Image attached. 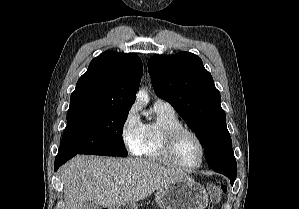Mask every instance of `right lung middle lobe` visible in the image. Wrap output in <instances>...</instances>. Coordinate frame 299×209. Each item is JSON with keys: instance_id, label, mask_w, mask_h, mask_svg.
<instances>
[{"instance_id": "dd1d6c3e", "label": "right lung middle lobe", "mask_w": 299, "mask_h": 209, "mask_svg": "<svg viewBox=\"0 0 299 209\" xmlns=\"http://www.w3.org/2000/svg\"><path fill=\"white\" fill-rule=\"evenodd\" d=\"M128 113L103 106L70 107L59 153L127 156L122 131Z\"/></svg>"}]
</instances>
